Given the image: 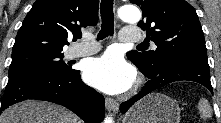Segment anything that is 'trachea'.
<instances>
[{
    "label": "trachea",
    "mask_w": 221,
    "mask_h": 123,
    "mask_svg": "<svg viewBox=\"0 0 221 123\" xmlns=\"http://www.w3.org/2000/svg\"><path fill=\"white\" fill-rule=\"evenodd\" d=\"M100 13L102 25L101 30L98 33V40H103L104 38L113 36L114 34L113 0H102Z\"/></svg>",
    "instance_id": "obj_1"
}]
</instances>
